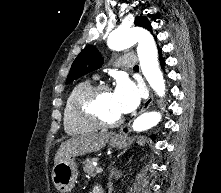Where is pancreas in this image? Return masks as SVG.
<instances>
[{
    "label": "pancreas",
    "mask_w": 221,
    "mask_h": 193,
    "mask_svg": "<svg viewBox=\"0 0 221 193\" xmlns=\"http://www.w3.org/2000/svg\"><path fill=\"white\" fill-rule=\"evenodd\" d=\"M95 161H97V159L96 158H92V159L88 160L86 162V164L84 165V167H83L84 172L87 173L88 175L92 176V177L96 176V169H97V167H95L93 165V162H95Z\"/></svg>",
    "instance_id": "cf45deb5"
}]
</instances>
